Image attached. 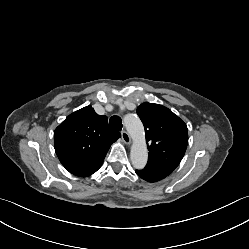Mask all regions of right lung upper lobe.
<instances>
[{"label":"right lung upper lobe","instance_id":"right-lung-upper-lobe-1","mask_svg":"<svg viewBox=\"0 0 249 249\" xmlns=\"http://www.w3.org/2000/svg\"><path fill=\"white\" fill-rule=\"evenodd\" d=\"M121 135L108 125V118L89 105L70 114L54 132V147L62 165L80 177L95 173Z\"/></svg>","mask_w":249,"mask_h":249}]
</instances>
